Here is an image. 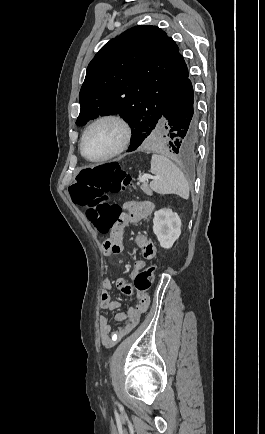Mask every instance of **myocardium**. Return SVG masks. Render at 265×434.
<instances>
[{"instance_id": "obj_1", "label": "myocardium", "mask_w": 265, "mask_h": 434, "mask_svg": "<svg viewBox=\"0 0 265 434\" xmlns=\"http://www.w3.org/2000/svg\"><path fill=\"white\" fill-rule=\"evenodd\" d=\"M104 122H111V123H114V124L119 126V128L121 130L120 142H119L118 146L108 155H106L102 158H98V159L88 158L83 152L84 140H85L87 134L94 127H96L97 125L104 123ZM131 138H132V128H131L129 121L124 116H122L120 114L106 113V114L100 115L97 118H95L92 122H90L87 125V127L83 131L81 138L79 140V144H78L79 154L85 161H87L89 163L102 164V163L110 161L111 159L117 157L122 152H124L128 148V146L130 145Z\"/></svg>"}]
</instances>
